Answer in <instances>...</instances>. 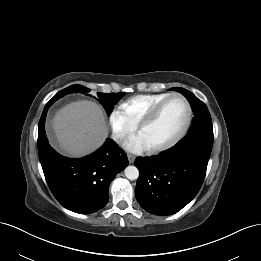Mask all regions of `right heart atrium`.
I'll use <instances>...</instances> for the list:
<instances>
[{"mask_svg": "<svg viewBox=\"0 0 261 261\" xmlns=\"http://www.w3.org/2000/svg\"><path fill=\"white\" fill-rule=\"evenodd\" d=\"M108 120L112 136L118 143L124 141L135 131V126L129 121L123 111L118 108L111 110Z\"/></svg>", "mask_w": 261, "mask_h": 261, "instance_id": "1", "label": "right heart atrium"}]
</instances>
